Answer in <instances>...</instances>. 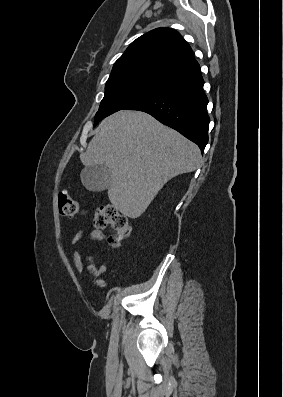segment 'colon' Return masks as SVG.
Wrapping results in <instances>:
<instances>
[{
	"label": "colon",
	"mask_w": 283,
	"mask_h": 397,
	"mask_svg": "<svg viewBox=\"0 0 283 397\" xmlns=\"http://www.w3.org/2000/svg\"><path fill=\"white\" fill-rule=\"evenodd\" d=\"M58 209L63 216H73L80 211L79 204L67 191H60L58 194ZM94 225L97 227L111 226L114 233L109 237L108 241L111 246L118 247L131 234V226L128 219L120 214L112 205H102L98 207L93 216ZM89 269L93 272L94 267ZM94 284L99 286L100 281L95 280Z\"/></svg>",
	"instance_id": "1"
}]
</instances>
